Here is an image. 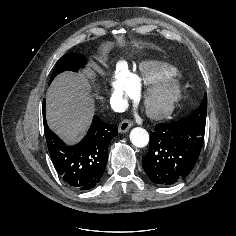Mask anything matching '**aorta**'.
Masks as SVG:
<instances>
[{
  "mask_svg": "<svg viewBox=\"0 0 236 236\" xmlns=\"http://www.w3.org/2000/svg\"><path fill=\"white\" fill-rule=\"evenodd\" d=\"M130 141L134 146L143 148L149 143V134L144 128H133L130 132Z\"/></svg>",
  "mask_w": 236,
  "mask_h": 236,
  "instance_id": "1",
  "label": "aorta"
}]
</instances>
